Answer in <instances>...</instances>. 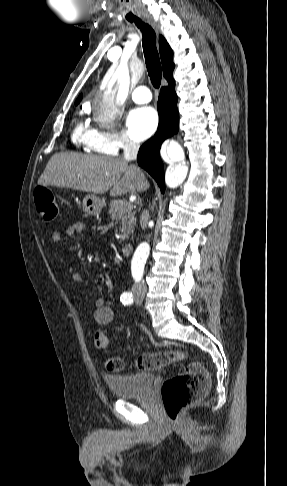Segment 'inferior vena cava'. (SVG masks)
<instances>
[{
    "label": "inferior vena cava",
    "mask_w": 287,
    "mask_h": 486,
    "mask_svg": "<svg viewBox=\"0 0 287 486\" xmlns=\"http://www.w3.org/2000/svg\"><path fill=\"white\" fill-rule=\"evenodd\" d=\"M123 150H124L125 160L127 161L136 160L138 150H139V144L126 138ZM148 219H149L148 210H143L140 218V225L142 229H145L147 227ZM134 289L138 291L140 290L146 291L147 287L144 281H140L139 283L134 285Z\"/></svg>",
    "instance_id": "1"
}]
</instances>
